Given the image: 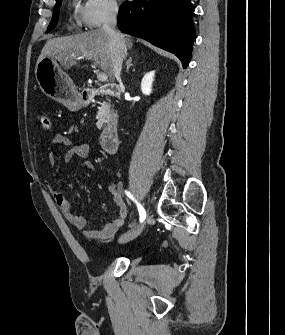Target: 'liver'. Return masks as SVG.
I'll use <instances>...</instances> for the list:
<instances>
[{
  "instance_id": "6515ba94",
  "label": "liver",
  "mask_w": 285,
  "mask_h": 335,
  "mask_svg": "<svg viewBox=\"0 0 285 335\" xmlns=\"http://www.w3.org/2000/svg\"><path fill=\"white\" fill-rule=\"evenodd\" d=\"M124 44L128 50L133 48L130 36L124 38ZM43 56H50L61 66L70 68L76 64L78 58L80 60H93L95 66L106 72L110 82H114L115 74L112 66L111 40L102 28L90 30L84 34H76V36H64V38H52L46 42L39 60Z\"/></svg>"
}]
</instances>
